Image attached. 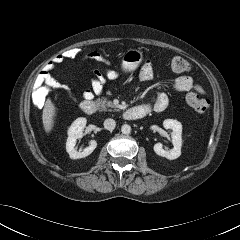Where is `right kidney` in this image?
<instances>
[{"label": "right kidney", "instance_id": "ca27d5eb", "mask_svg": "<svg viewBox=\"0 0 240 240\" xmlns=\"http://www.w3.org/2000/svg\"><path fill=\"white\" fill-rule=\"evenodd\" d=\"M86 118L76 119L68 129V138L66 142V150L71 159H80L90 155L97 146L95 140L89 142V146L83 150L77 151L75 148L77 139L83 137V131L86 126Z\"/></svg>", "mask_w": 240, "mask_h": 240}]
</instances>
